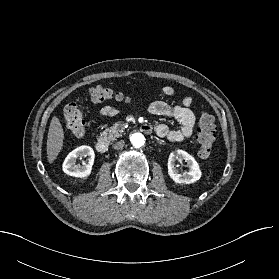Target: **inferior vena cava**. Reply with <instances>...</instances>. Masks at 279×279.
<instances>
[{
    "mask_svg": "<svg viewBox=\"0 0 279 279\" xmlns=\"http://www.w3.org/2000/svg\"><path fill=\"white\" fill-rule=\"evenodd\" d=\"M124 145L125 142L123 140H120L119 142L115 143L113 147L115 150H120L123 149Z\"/></svg>",
    "mask_w": 279,
    "mask_h": 279,
    "instance_id": "inferior-vena-cava-1",
    "label": "inferior vena cava"
}]
</instances>
